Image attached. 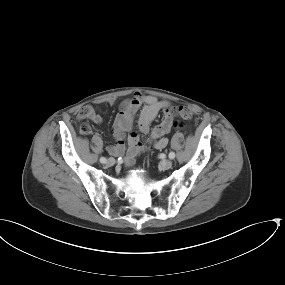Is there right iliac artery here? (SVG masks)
I'll return each instance as SVG.
<instances>
[{"label":"right iliac artery","instance_id":"obj_1","mask_svg":"<svg viewBox=\"0 0 285 285\" xmlns=\"http://www.w3.org/2000/svg\"><path fill=\"white\" fill-rule=\"evenodd\" d=\"M106 161H107V160H106L105 157H101V158H100V162H101V163H106Z\"/></svg>","mask_w":285,"mask_h":285}]
</instances>
